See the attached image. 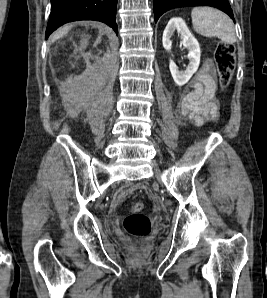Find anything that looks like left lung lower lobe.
<instances>
[{
	"mask_svg": "<svg viewBox=\"0 0 267 298\" xmlns=\"http://www.w3.org/2000/svg\"><path fill=\"white\" fill-rule=\"evenodd\" d=\"M212 6L218 8L233 18L228 0H154L155 22L166 11L180 7Z\"/></svg>",
	"mask_w": 267,
	"mask_h": 298,
	"instance_id": "0a47b994",
	"label": "left lung lower lobe"
}]
</instances>
